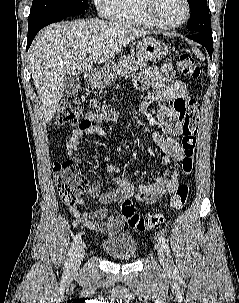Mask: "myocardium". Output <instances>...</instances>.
<instances>
[{"instance_id": "1", "label": "myocardium", "mask_w": 239, "mask_h": 303, "mask_svg": "<svg viewBox=\"0 0 239 303\" xmlns=\"http://www.w3.org/2000/svg\"><path fill=\"white\" fill-rule=\"evenodd\" d=\"M185 4V16L184 18L176 23V24H165L161 22L156 14H155V8L157 4V0H140L141 3V10L145 17L148 19V21L156 28L165 29V30H175L180 27H182L190 18L191 15V5L189 0H183Z\"/></svg>"}]
</instances>
